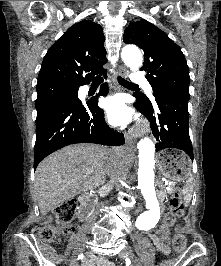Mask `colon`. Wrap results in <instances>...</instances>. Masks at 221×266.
<instances>
[{
	"instance_id": "1",
	"label": "colon",
	"mask_w": 221,
	"mask_h": 266,
	"mask_svg": "<svg viewBox=\"0 0 221 266\" xmlns=\"http://www.w3.org/2000/svg\"><path fill=\"white\" fill-rule=\"evenodd\" d=\"M184 201L180 193H174L169 200V212L162 219L161 227L157 236L161 242H167L170 228L184 214ZM76 210L75 200H67L57 205L53 209V216L57 222V227L45 225L37 226L33 229L43 241L52 242L57 236L70 235L74 232L73 217ZM173 247L176 252H182L186 248V237L177 233L173 237Z\"/></svg>"
}]
</instances>
